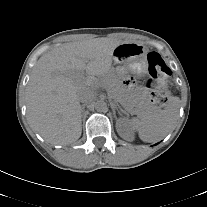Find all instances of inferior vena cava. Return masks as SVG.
Segmentation results:
<instances>
[{"label":"inferior vena cava","mask_w":207,"mask_h":207,"mask_svg":"<svg viewBox=\"0 0 207 207\" xmlns=\"http://www.w3.org/2000/svg\"><path fill=\"white\" fill-rule=\"evenodd\" d=\"M95 98L94 91L89 88L81 89L78 93V99L82 103L92 102Z\"/></svg>","instance_id":"inferior-vena-cava-1"}]
</instances>
